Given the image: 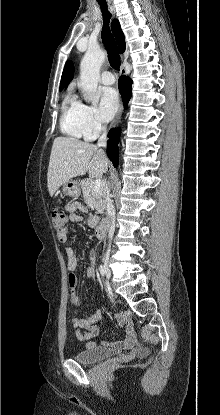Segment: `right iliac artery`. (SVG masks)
Wrapping results in <instances>:
<instances>
[{
    "label": "right iliac artery",
    "mask_w": 220,
    "mask_h": 415,
    "mask_svg": "<svg viewBox=\"0 0 220 415\" xmlns=\"http://www.w3.org/2000/svg\"><path fill=\"white\" fill-rule=\"evenodd\" d=\"M99 271H100V274H101L102 276H104L105 271H104V268H103V266H102V265H100V267H99Z\"/></svg>",
    "instance_id": "right-iliac-artery-1"
}]
</instances>
